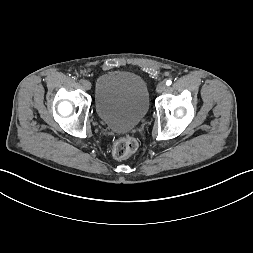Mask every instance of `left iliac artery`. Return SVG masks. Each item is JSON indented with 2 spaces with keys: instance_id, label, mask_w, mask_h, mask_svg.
<instances>
[{
  "instance_id": "1",
  "label": "left iliac artery",
  "mask_w": 253,
  "mask_h": 253,
  "mask_svg": "<svg viewBox=\"0 0 253 253\" xmlns=\"http://www.w3.org/2000/svg\"><path fill=\"white\" fill-rule=\"evenodd\" d=\"M171 83H172L171 80H167V81H166V85H167V86L171 85Z\"/></svg>"
}]
</instances>
